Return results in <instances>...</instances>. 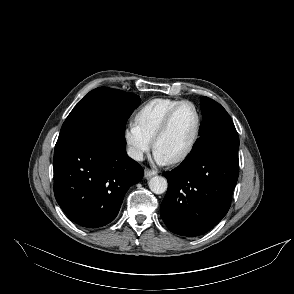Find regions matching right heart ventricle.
I'll return each mask as SVG.
<instances>
[{"label": "right heart ventricle", "mask_w": 294, "mask_h": 294, "mask_svg": "<svg viewBox=\"0 0 294 294\" xmlns=\"http://www.w3.org/2000/svg\"><path fill=\"white\" fill-rule=\"evenodd\" d=\"M182 100L154 98L144 103L135 114V122L146 136L153 139L168 111Z\"/></svg>", "instance_id": "right-heart-ventricle-1"}]
</instances>
